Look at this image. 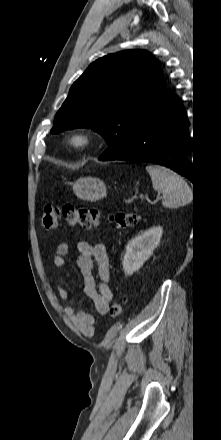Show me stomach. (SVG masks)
I'll list each match as a JSON object with an SVG mask.
<instances>
[{
    "mask_svg": "<svg viewBox=\"0 0 221 440\" xmlns=\"http://www.w3.org/2000/svg\"><path fill=\"white\" fill-rule=\"evenodd\" d=\"M75 195L88 201H97L106 196L105 183L96 177H81L71 183Z\"/></svg>",
    "mask_w": 221,
    "mask_h": 440,
    "instance_id": "0dacf381",
    "label": "stomach"
}]
</instances>
